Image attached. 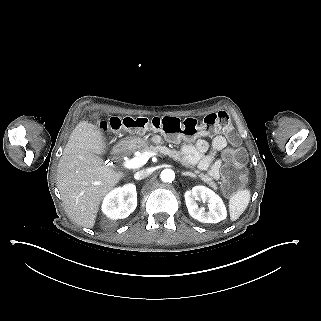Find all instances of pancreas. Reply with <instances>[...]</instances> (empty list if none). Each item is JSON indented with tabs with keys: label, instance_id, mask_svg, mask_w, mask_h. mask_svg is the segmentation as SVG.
Returning <instances> with one entry per match:
<instances>
[{
	"label": "pancreas",
	"instance_id": "cf45deb5",
	"mask_svg": "<svg viewBox=\"0 0 321 321\" xmlns=\"http://www.w3.org/2000/svg\"><path fill=\"white\" fill-rule=\"evenodd\" d=\"M136 150L141 151L142 153L148 152V153H158V154H164L168 155L169 157L173 158L174 161L181 163L185 167H189V162L184 158L183 153L181 151H177L175 149H170L166 146L162 145H146V146H137V145H128L125 146L123 149L124 154L126 153H132ZM193 169V168H192ZM194 175L196 177H199L205 184H207L210 188H212L214 191L218 189V184L214 182L213 178L209 176L208 174H204L199 170L194 169L193 171Z\"/></svg>",
	"mask_w": 321,
	"mask_h": 321
}]
</instances>
